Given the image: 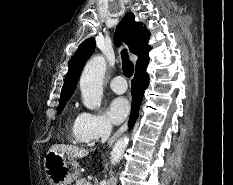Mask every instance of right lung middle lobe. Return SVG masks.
Here are the masks:
<instances>
[{
    "instance_id": "1",
    "label": "right lung middle lobe",
    "mask_w": 233,
    "mask_h": 185,
    "mask_svg": "<svg viewBox=\"0 0 233 185\" xmlns=\"http://www.w3.org/2000/svg\"><path fill=\"white\" fill-rule=\"evenodd\" d=\"M66 102H67V101H62V102L59 103L58 114L61 113V111H62V109L64 108Z\"/></svg>"
}]
</instances>
